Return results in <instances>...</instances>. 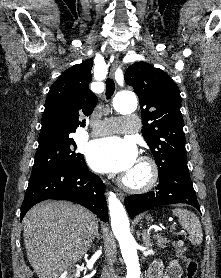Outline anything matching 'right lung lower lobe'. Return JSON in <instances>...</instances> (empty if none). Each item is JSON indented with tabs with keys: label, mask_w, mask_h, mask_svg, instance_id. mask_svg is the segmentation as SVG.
Returning a JSON list of instances; mask_svg holds the SVG:
<instances>
[{
	"label": "right lung lower lobe",
	"mask_w": 221,
	"mask_h": 278,
	"mask_svg": "<svg viewBox=\"0 0 221 278\" xmlns=\"http://www.w3.org/2000/svg\"><path fill=\"white\" fill-rule=\"evenodd\" d=\"M104 192L103 182L88 171L86 163L79 167L56 168L29 179L20 219L38 202L56 199L81 204L106 222L108 208Z\"/></svg>",
	"instance_id": "1"
}]
</instances>
